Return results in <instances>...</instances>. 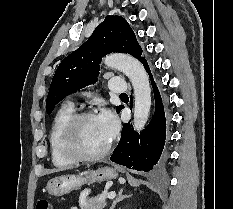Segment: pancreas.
Here are the masks:
<instances>
[{"mask_svg":"<svg viewBox=\"0 0 233 209\" xmlns=\"http://www.w3.org/2000/svg\"><path fill=\"white\" fill-rule=\"evenodd\" d=\"M86 193V190L83 194ZM106 195H99L94 198L80 197L79 206L81 209H103L106 205Z\"/></svg>","mask_w":233,"mask_h":209,"instance_id":"pancreas-1","label":"pancreas"}]
</instances>
